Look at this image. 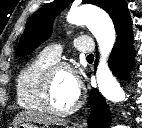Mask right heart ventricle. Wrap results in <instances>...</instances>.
<instances>
[{
	"mask_svg": "<svg viewBox=\"0 0 142 128\" xmlns=\"http://www.w3.org/2000/svg\"><path fill=\"white\" fill-rule=\"evenodd\" d=\"M54 61L41 53L30 61L19 72L16 80V95L18 104L28 110H43L41 89L46 70Z\"/></svg>",
	"mask_w": 142,
	"mask_h": 128,
	"instance_id": "right-heart-ventricle-1",
	"label": "right heart ventricle"
}]
</instances>
